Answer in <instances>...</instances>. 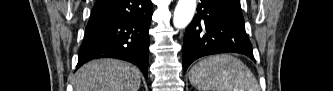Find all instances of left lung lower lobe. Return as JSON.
<instances>
[{
    "mask_svg": "<svg viewBox=\"0 0 333 91\" xmlns=\"http://www.w3.org/2000/svg\"><path fill=\"white\" fill-rule=\"evenodd\" d=\"M236 52L254 60L239 0H201L185 31L183 68L202 56Z\"/></svg>",
    "mask_w": 333,
    "mask_h": 91,
    "instance_id": "obj_1",
    "label": "left lung lower lobe"
}]
</instances>
